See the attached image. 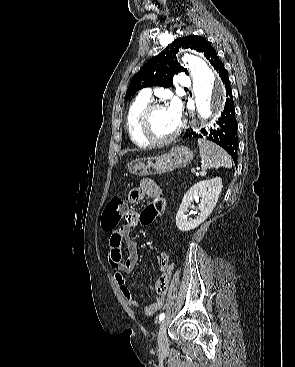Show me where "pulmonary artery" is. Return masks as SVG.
<instances>
[{
  "label": "pulmonary artery",
  "mask_w": 295,
  "mask_h": 367,
  "mask_svg": "<svg viewBox=\"0 0 295 367\" xmlns=\"http://www.w3.org/2000/svg\"><path fill=\"white\" fill-rule=\"evenodd\" d=\"M179 84L180 86L184 88H189L191 86V80L187 75L181 74L179 78ZM151 96H152L151 90L148 88L141 90L139 94L140 98L147 99V100H149Z\"/></svg>",
  "instance_id": "obj_1"
}]
</instances>
